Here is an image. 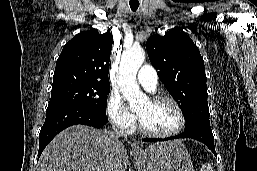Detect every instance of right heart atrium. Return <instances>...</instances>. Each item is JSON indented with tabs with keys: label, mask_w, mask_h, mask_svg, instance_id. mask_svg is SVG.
<instances>
[{
	"label": "right heart atrium",
	"mask_w": 257,
	"mask_h": 171,
	"mask_svg": "<svg viewBox=\"0 0 257 171\" xmlns=\"http://www.w3.org/2000/svg\"><path fill=\"white\" fill-rule=\"evenodd\" d=\"M106 112L111 123L121 131L132 130L136 116L123 102L120 94L111 92L107 99Z\"/></svg>",
	"instance_id": "obj_1"
}]
</instances>
